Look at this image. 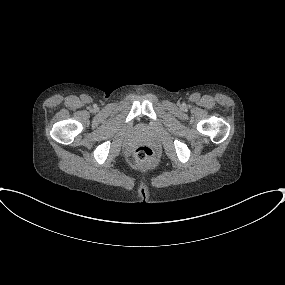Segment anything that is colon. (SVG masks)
<instances>
[{"label":"colon","instance_id":"obj_1","mask_svg":"<svg viewBox=\"0 0 285 285\" xmlns=\"http://www.w3.org/2000/svg\"><path fill=\"white\" fill-rule=\"evenodd\" d=\"M134 157L139 164L151 165L154 162V152L148 145H140L135 149Z\"/></svg>","mask_w":285,"mask_h":285}]
</instances>
